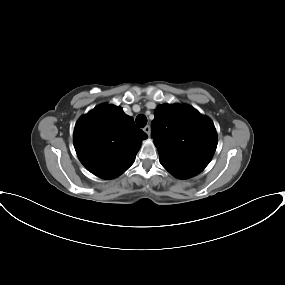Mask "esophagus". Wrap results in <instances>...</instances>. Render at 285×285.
Returning a JSON list of instances; mask_svg holds the SVG:
<instances>
[{
    "label": "esophagus",
    "instance_id": "esophagus-1",
    "mask_svg": "<svg viewBox=\"0 0 285 285\" xmlns=\"http://www.w3.org/2000/svg\"><path fill=\"white\" fill-rule=\"evenodd\" d=\"M143 130L146 132V134H147L148 136H150V134H151V128H150L149 125H146Z\"/></svg>",
    "mask_w": 285,
    "mask_h": 285
}]
</instances>
